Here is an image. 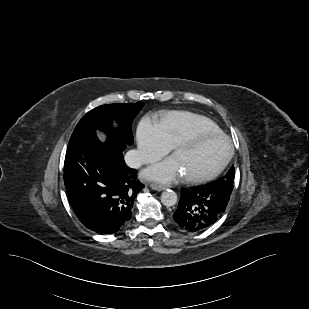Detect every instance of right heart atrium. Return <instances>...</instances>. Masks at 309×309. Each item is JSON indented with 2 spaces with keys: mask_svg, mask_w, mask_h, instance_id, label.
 I'll use <instances>...</instances> for the list:
<instances>
[{
  "mask_svg": "<svg viewBox=\"0 0 309 309\" xmlns=\"http://www.w3.org/2000/svg\"><path fill=\"white\" fill-rule=\"evenodd\" d=\"M137 156L142 164L153 163L172 148L157 123L142 119L136 131Z\"/></svg>",
  "mask_w": 309,
  "mask_h": 309,
  "instance_id": "right-heart-atrium-1",
  "label": "right heart atrium"
}]
</instances>
